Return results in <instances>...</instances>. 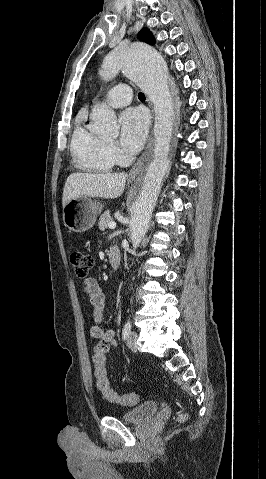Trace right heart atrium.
I'll return each instance as SVG.
<instances>
[{
	"instance_id": "obj_1",
	"label": "right heart atrium",
	"mask_w": 266,
	"mask_h": 479,
	"mask_svg": "<svg viewBox=\"0 0 266 479\" xmlns=\"http://www.w3.org/2000/svg\"><path fill=\"white\" fill-rule=\"evenodd\" d=\"M108 149L115 161L122 162L124 160L120 150L114 144H108Z\"/></svg>"
}]
</instances>
